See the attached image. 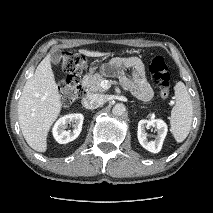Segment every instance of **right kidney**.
Wrapping results in <instances>:
<instances>
[{
  "mask_svg": "<svg viewBox=\"0 0 213 213\" xmlns=\"http://www.w3.org/2000/svg\"><path fill=\"white\" fill-rule=\"evenodd\" d=\"M84 116L82 114H68L61 117L53 127V136L60 144H66L75 140L82 129ZM73 123V131L66 130L67 125Z\"/></svg>",
  "mask_w": 213,
  "mask_h": 213,
  "instance_id": "ca27d5eb",
  "label": "right kidney"
}]
</instances>
